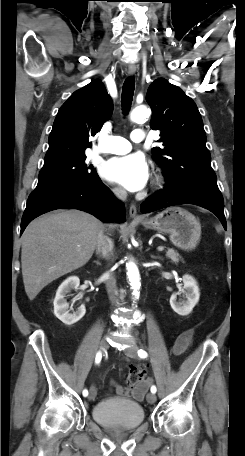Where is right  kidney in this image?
I'll list each match as a JSON object with an SVG mask.
<instances>
[{
  "label": "right kidney",
  "instance_id": "ca27d5eb",
  "mask_svg": "<svg viewBox=\"0 0 245 456\" xmlns=\"http://www.w3.org/2000/svg\"><path fill=\"white\" fill-rule=\"evenodd\" d=\"M80 280L77 276L68 277L64 280L57 289L54 299V314L65 325H72L78 322L86 313L85 306L82 304L75 312L69 313V304L66 301V296L73 289L79 287Z\"/></svg>",
  "mask_w": 245,
  "mask_h": 456
}]
</instances>
